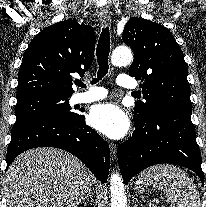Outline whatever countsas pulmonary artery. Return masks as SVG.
Segmentation results:
<instances>
[{
  "label": "pulmonary artery",
  "mask_w": 206,
  "mask_h": 207,
  "mask_svg": "<svg viewBox=\"0 0 206 207\" xmlns=\"http://www.w3.org/2000/svg\"><path fill=\"white\" fill-rule=\"evenodd\" d=\"M131 78L126 74H120L117 77V83L120 86L126 87V88H134L136 87L135 84L131 83ZM87 90L84 92H78L73 95V102L74 103H90L98 100L104 99L107 94L108 90L104 87L99 86H93V85H86Z\"/></svg>",
  "instance_id": "1"
}]
</instances>
